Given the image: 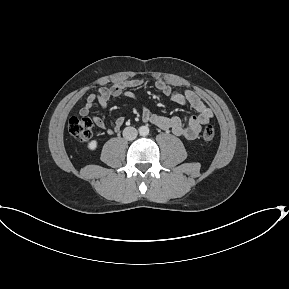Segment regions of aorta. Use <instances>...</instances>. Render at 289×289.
<instances>
[{"instance_id":"aorta-1","label":"aorta","mask_w":289,"mask_h":289,"mask_svg":"<svg viewBox=\"0 0 289 289\" xmlns=\"http://www.w3.org/2000/svg\"><path fill=\"white\" fill-rule=\"evenodd\" d=\"M139 134H140L141 136H147V135L149 134V128H148V126H141V127L139 128Z\"/></svg>"}]
</instances>
